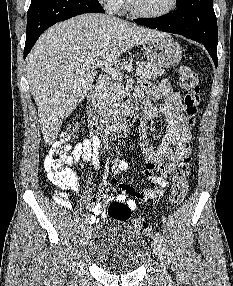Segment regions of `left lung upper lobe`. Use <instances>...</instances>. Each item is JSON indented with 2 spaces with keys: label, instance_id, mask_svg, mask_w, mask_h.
I'll use <instances>...</instances> for the list:
<instances>
[{
  "label": "left lung upper lobe",
  "instance_id": "1",
  "mask_svg": "<svg viewBox=\"0 0 233 286\" xmlns=\"http://www.w3.org/2000/svg\"><path fill=\"white\" fill-rule=\"evenodd\" d=\"M180 1H182V0H176L177 3L180 2Z\"/></svg>",
  "mask_w": 233,
  "mask_h": 286
}]
</instances>
